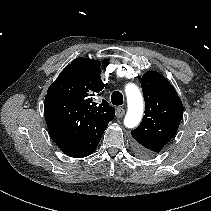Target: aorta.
Here are the masks:
<instances>
[{
    "label": "aorta",
    "instance_id": "1",
    "mask_svg": "<svg viewBox=\"0 0 211 211\" xmlns=\"http://www.w3.org/2000/svg\"><path fill=\"white\" fill-rule=\"evenodd\" d=\"M128 111L124 118V125L127 128L136 127L141 121L144 109V101L140 90L134 84L125 87Z\"/></svg>",
    "mask_w": 211,
    "mask_h": 211
}]
</instances>
